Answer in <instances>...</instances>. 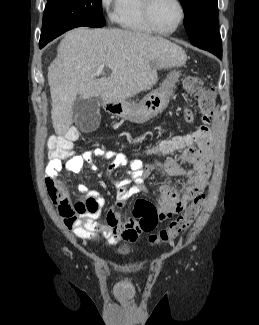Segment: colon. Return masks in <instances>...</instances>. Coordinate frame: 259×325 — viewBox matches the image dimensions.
<instances>
[{"label": "colon", "mask_w": 259, "mask_h": 325, "mask_svg": "<svg viewBox=\"0 0 259 325\" xmlns=\"http://www.w3.org/2000/svg\"><path fill=\"white\" fill-rule=\"evenodd\" d=\"M182 86L185 93L193 97L199 103L205 123V125L201 127V132L204 134L209 130L207 124L210 121L215 106L214 93L196 76H186L182 81ZM77 139L78 132L75 129H71L63 135L51 137L49 140L50 153L55 159H62L68 156ZM194 141H199V136H194ZM184 145L185 148H195V143H189L188 135H181L180 138H163L162 142L159 143V148L161 150L181 149L184 148ZM47 187L51 198L60 196V191L54 183H50ZM204 202L205 196L203 194L196 196L184 213L174 219L165 229L149 237L150 243L157 245L173 241L183 230L194 222ZM133 217L138 221L139 230L142 232H150L153 230L159 220V214L156 207L151 202L144 199L136 201Z\"/></svg>", "instance_id": "colon-1"}]
</instances>
